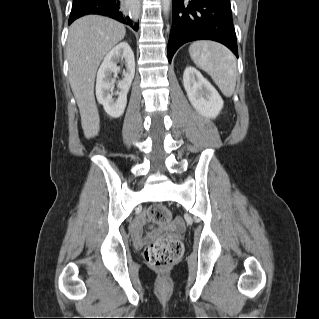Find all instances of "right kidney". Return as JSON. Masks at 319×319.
Masks as SVG:
<instances>
[{
	"instance_id": "ca27d5eb",
	"label": "right kidney",
	"mask_w": 319,
	"mask_h": 319,
	"mask_svg": "<svg viewBox=\"0 0 319 319\" xmlns=\"http://www.w3.org/2000/svg\"><path fill=\"white\" fill-rule=\"evenodd\" d=\"M123 60L126 65V69L123 71V79L117 82L119 90L113 93L112 88L116 79L111 78V76L119 72L120 68L117 64ZM134 74L135 60L133 51L127 42H121L105 56L97 73L96 97L109 116L118 118L124 113L127 104V94ZM114 95L117 98H114Z\"/></svg>"
}]
</instances>
